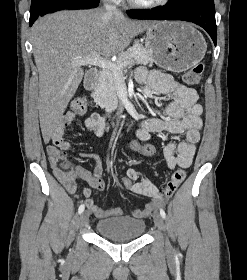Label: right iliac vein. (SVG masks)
<instances>
[{
  "label": "right iliac vein",
  "mask_w": 247,
  "mask_h": 280,
  "mask_svg": "<svg viewBox=\"0 0 247 280\" xmlns=\"http://www.w3.org/2000/svg\"><path fill=\"white\" fill-rule=\"evenodd\" d=\"M88 221H89V212L88 211H85L81 214L80 216V225L83 227V226H86L88 224Z\"/></svg>",
  "instance_id": "63e3f726"
}]
</instances>
